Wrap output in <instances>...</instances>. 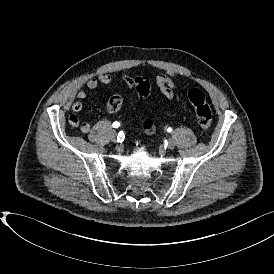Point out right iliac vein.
Masks as SVG:
<instances>
[{
  "label": "right iliac vein",
  "mask_w": 274,
  "mask_h": 274,
  "mask_svg": "<svg viewBox=\"0 0 274 274\" xmlns=\"http://www.w3.org/2000/svg\"><path fill=\"white\" fill-rule=\"evenodd\" d=\"M111 140H112L113 142H117V134H116V133H113V134H112Z\"/></svg>",
  "instance_id": "1"
}]
</instances>
